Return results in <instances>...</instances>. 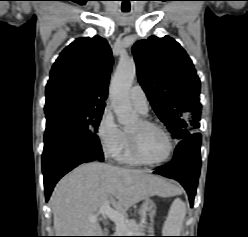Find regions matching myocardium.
I'll return each mask as SVG.
<instances>
[{
    "mask_svg": "<svg viewBox=\"0 0 248 237\" xmlns=\"http://www.w3.org/2000/svg\"><path fill=\"white\" fill-rule=\"evenodd\" d=\"M139 121H140L141 125H143V126L153 127V128L158 129L165 136L167 143H168V151H167V154L165 155V157L160 159V160H156V161L149 160L141 153L136 139L128 132L127 138H128V142H129L132 156L138 162L145 164V165H149V166H158V165H162V164L166 163L167 161H169L173 155V152H174V142H173V139H172L170 133L168 132V130L160 123L146 119V118H141Z\"/></svg>",
    "mask_w": 248,
    "mask_h": 237,
    "instance_id": "myocardium-1",
    "label": "myocardium"
}]
</instances>
